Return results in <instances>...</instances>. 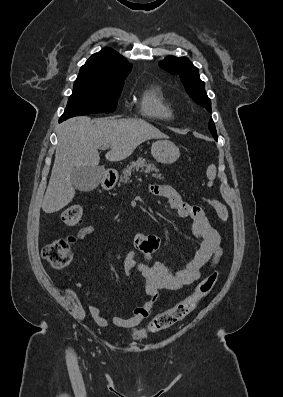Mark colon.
I'll use <instances>...</instances> for the list:
<instances>
[{
  "instance_id": "1",
  "label": "colon",
  "mask_w": 283,
  "mask_h": 397,
  "mask_svg": "<svg viewBox=\"0 0 283 397\" xmlns=\"http://www.w3.org/2000/svg\"><path fill=\"white\" fill-rule=\"evenodd\" d=\"M204 200L214 209L220 220L224 222L228 220V210L221 201L214 198H204ZM82 215L83 210L80 205H71L61 213L60 219L65 225L73 227L80 223ZM73 243L74 238L71 236L54 240L43 247L42 257L54 268H65L72 259ZM219 277L218 271L208 274L190 295L156 315L148 325L149 331L155 333L167 329L185 318L196 303L213 289Z\"/></svg>"
}]
</instances>
